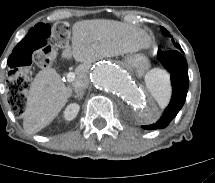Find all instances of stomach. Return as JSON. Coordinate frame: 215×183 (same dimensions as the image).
I'll list each match as a JSON object with an SVG mask.
<instances>
[{
	"label": "stomach",
	"instance_id": "0dacf381",
	"mask_svg": "<svg viewBox=\"0 0 215 183\" xmlns=\"http://www.w3.org/2000/svg\"><path fill=\"white\" fill-rule=\"evenodd\" d=\"M125 64L135 70L139 75L149 68V61L143 54H133L125 57Z\"/></svg>",
	"mask_w": 215,
	"mask_h": 183
}]
</instances>
